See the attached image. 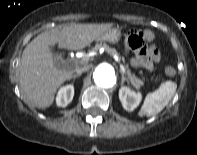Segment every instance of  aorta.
Returning <instances> with one entry per match:
<instances>
[{
  "label": "aorta",
  "mask_w": 197,
  "mask_h": 155,
  "mask_svg": "<svg viewBox=\"0 0 197 155\" xmlns=\"http://www.w3.org/2000/svg\"><path fill=\"white\" fill-rule=\"evenodd\" d=\"M94 82L101 88H112L116 84V74L113 66L109 63L99 64L93 73Z\"/></svg>",
  "instance_id": "obj_1"
}]
</instances>
